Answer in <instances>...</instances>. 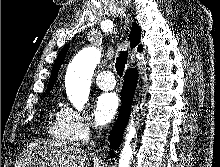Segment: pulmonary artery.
<instances>
[{"label": "pulmonary artery", "instance_id": "pulmonary-artery-1", "mask_svg": "<svg viewBox=\"0 0 220 167\" xmlns=\"http://www.w3.org/2000/svg\"><path fill=\"white\" fill-rule=\"evenodd\" d=\"M95 81L97 86L103 90H112L116 84L114 74L111 71L99 72L95 77Z\"/></svg>", "mask_w": 220, "mask_h": 167}]
</instances>
